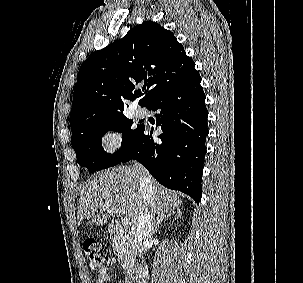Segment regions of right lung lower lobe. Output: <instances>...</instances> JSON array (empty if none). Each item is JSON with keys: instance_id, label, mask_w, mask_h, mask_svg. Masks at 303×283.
Here are the masks:
<instances>
[{"instance_id": "1", "label": "right lung lower lobe", "mask_w": 303, "mask_h": 283, "mask_svg": "<svg viewBox=\"0 0 303 283\" xmlns=\"http://www.w3.org/2000/svg\"><path fill=\"white\" fill-rule=\"evenodd\" d=\"M198 72L182 85L152 101L146 108L156 111L159 141L144 130L120 163L131 159L143 164L163 186L179 190L198 204L202 196V168L206 154L208 112Z\"/></svg>"}]
</instances>
